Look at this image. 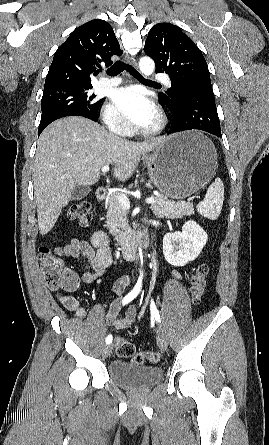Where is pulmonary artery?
<instances>
[{"instance_id":"e3ab8cb5","label":"pulmonary artery","mask_w":269,"mask_h":445,"mask_svg":"<svg viewBox=\"0 0 269 445\" xmlns=\"http://www.w3.org/2000/svg\"><path fill=\"white\" fill-rule=\"evenodd\" d=\"M157 78L162 82H164L166 85L168 86L171 85V80L167 75L159 74L157 75ZM120 83L121 80L119 78H109V77H102L98 81V85L100 87H113L119 85Z\"/></svg>"}]
</instances>
